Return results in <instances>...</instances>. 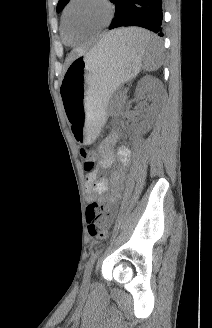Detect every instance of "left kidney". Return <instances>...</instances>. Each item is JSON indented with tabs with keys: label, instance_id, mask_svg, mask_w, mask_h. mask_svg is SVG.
I'll return each mask as SVG.
<instances>
[{
	"label": "left kidney",
	"instance_id": "5707ae66",
	"mask_svg": "<svg viewBox=\"0 0 212 328\" xmlns=\"http://www.w3.org/2000/svg\"><path fill=\"white\" fill-rule=\"evenodd\" d=\"M160 89V82L158 79L152 76H145L143 77L135 90V96L137 100L142 99L145 94L149 93L153 95V104L147 109V115L145 121L141 122L138 126V130L142 133L147 132L150 130L154 123V118L157 112L156 107V97L158 95Z\"/></svg>",
	"mask_w": 212,
	"mask_h": 328
}]
</instances>
